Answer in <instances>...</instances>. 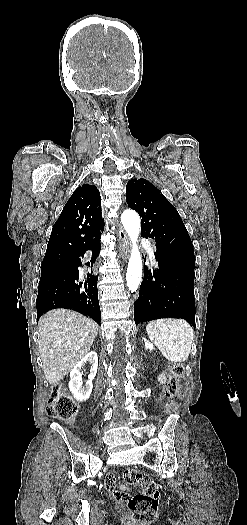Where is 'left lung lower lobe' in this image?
<instances>
[{
    "instance_id": "obj_1",
    "label": "left lung lower lobe",
    "mask_w": 247,
    "mask_h": 525,
    "mask_svg": "<svg viewBox=\"0 0 247 525\" xmlns=\"http://www.w3.org/2000/svg\"><path fill=\"white\" fill-rule=\"evenodd\" d=\"M155 258L159 268L152 273L146 267L134 303L135 324L174 317L188 320L195 328L194 269L179 264L175 258L164 257L158 248Z\"/></svg>"
}]
</instances>
